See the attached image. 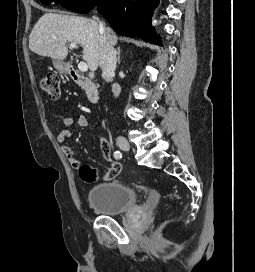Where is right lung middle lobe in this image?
<instances>
[{
	"label": "right lung middle lobe",
	"mask_w": 255,
	"mask_h": 272,
	"mask_svg": "<svg viewBox=\"0 0 255 272\" xmlns=\"http://www.w3.org/2000/svg\"><path fill=\"white\" fill-rule=\"evenodd\" d=\"M102 0H41L44 5L52 2L60 3L66 9L74 12L87 13L92 10Z\"/></svg>",
	"instance_id": "right-lung-middle-lobe-1"
}]
</instances>
